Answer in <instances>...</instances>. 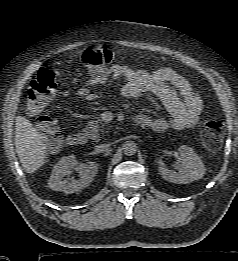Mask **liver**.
<instances>
[{"label":"liver","mask_w":238,"mask_h":261,"mask_svg":"<svg viewBox=\"0 0 238 261\" xmlns=\"http://www.w3.org/2000/svg\"><path fill=\"white\" fill-rule=\"evenodd\" d=\"M15 146L20 162L27 173H34L47 162L46 136L23 116H17L15 120Z\"/></svg>","instance_id":"6515ba94"}]
</instances>
